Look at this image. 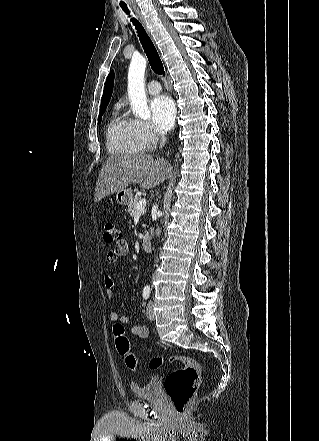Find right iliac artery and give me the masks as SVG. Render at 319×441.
Here are the masks:
<instances>
[{"mask_svg":"<svg viewBox=\"0 0 319 441\" xmlns=\"http://www.w3.org/2000/svg\"><path fill=\"white\" fill-rule=\"evenodd\" d=\"M149 295H150V290L144 289L143 290V298L147 300L149 298Z\"/></svg>","mask_w":319,"mask_h":441,"instance_id":"82829eb1","label":"right iliac artery"}]
</instances>
